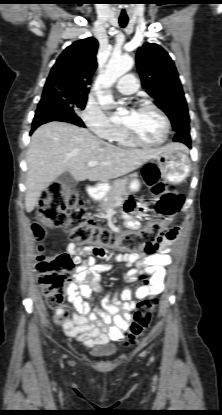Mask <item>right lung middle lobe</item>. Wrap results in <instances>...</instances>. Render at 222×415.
<instances>
[{
	"instance_id": "1",
	"label": "right lung middle lobe",
	"mask_w": 222,
	"mask_h": 415,
	"mask_svg": "<svg viewBox=\"0 0 222 415\" xmlns=\"http://www.w3.org/2000/svg\"><path fill=\"white\" fill-rule=\"evenodd\" d=\"M58 96L63 99L72 109H84L87 101V95L77 94L70 91L58 92ZM47 97L42 95L39 103L46 100Z\"/></svg>"
}]
</instances>
